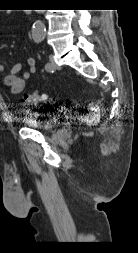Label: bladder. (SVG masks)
Returning a JSON list of instances; mask_svg holds the SVG:
<instances>
[{"label":"bladder","mask_w":138,"mask_h":253,"mask_svg":"<svg viewBox=\"0 0 138 253\" xmlns=\"http://www.w3.org/2000/svg\"><path fill=\"white\" fill-rule=\"evenodd\" d=\"M22 122L28 128L43 132H52L60 124L57 116H36L34 114L24 117Z\"/></svg>","instance_id":"obj_1"}]
</instances>
